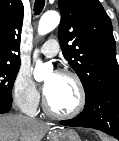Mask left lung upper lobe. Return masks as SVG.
Wrapping results in <instances>:
<instances>
[{
  "label": "left lung upper lobe",
  "instance_id": "obj_1",
  "mask_svg": "<svg viewBox=\"0 0 119 141\" xmlns=\"http://www.w3.org/2000/svg\"><path fill=\"white\" fill-rule=\"evenodd\" d=\"M58 36L64 57L79 76L86 98L119 85L112 23L98 0H58Z\"/></svg>",
  "mask_w": 119,
  "mask_h": 141
}]
</instances>
